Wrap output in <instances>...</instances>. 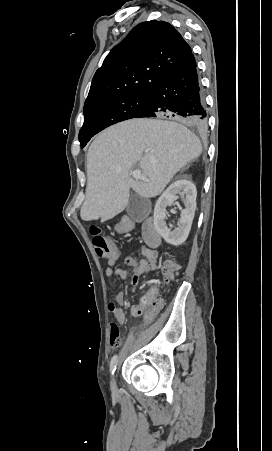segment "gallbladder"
Listing matches in <instances>:
<instances>
[{
  "instance_id": "1",
  "label": "gallbladder",
  "mask_w": 272,
  "mask_h": 451,
  "mask_svg": "<svg viewBox=\"0 0 272 451\" xmlns=\"http://www.w3.org/2000/svg\"><path fill=\"white\" fill-rule=\"evenodd\" d=\"M148 202L149 200L147 198H141L138 194H133L129 198L126 212L133 222H142V220H145L149 216Z\"/></svg>"
}]
</instances>
